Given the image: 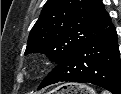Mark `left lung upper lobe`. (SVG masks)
Instances as JSON below:
<instances>
[{
  "label": "left lung upper lobe",
  "mask_w": 121,
  "mask_h": 94,
  "mask_svg": "<svg viewBox=\"0 0 121 94\" xmlns=\"http://www.w3.org/2000/svg\"><path fill=\"white\" fill-rule=\"evenodd\" d=\"M111 24L102 0H48L29 34L25 54L46 53L60 63Z\"/></svg>",
  "instance_id": "left-lung-upper-lobe-1"
}]
</instances>
